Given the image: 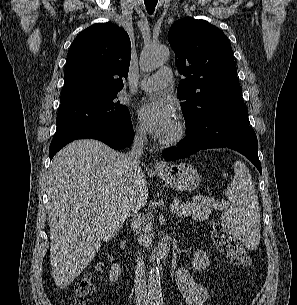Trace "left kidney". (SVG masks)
Listing matches in <instances>:
<instances>
[{
  "label": "left kidney",
  "instance_id": "obj_1",
  "mask_svg": "<svg viewBox=\"0 0 297 305\" xmlns=\"http://www.w3.org/2000/svg\"><path fill=\"white\" fill-rule=\"evenodd\" d=\"M210 265L209 256L203 253L202 250H197L193 258V269L201 271Z\"/></svg>",
  "mask_w": 297,
  "mask_h": 305
}]
</instances>
